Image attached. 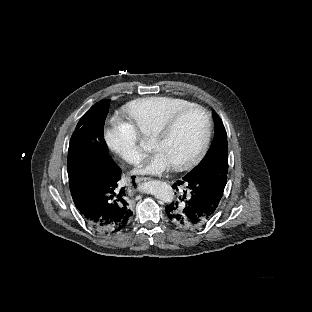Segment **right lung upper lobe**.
Masks as SVG:
<instances>
[{
  "instance_id": "obj_1",
  "label": "right lung upper lobe",
  "mask_w": 312,
  "mask_h": 312,
  "mask_svg": "<svg viewBox=\"0 0 312 312\" xmlns=\"http://www.w3.org/2000/svg\"><path fill=\"white\" fill-rule=\"evenodd\" d=\"M104 163H105V162H104ZM104 163H99V164H104ZM91 167H92V165H91V166H89V167H88V168H86V169H89V168H91ZM85 171H86V170H85ZM85 171H84V172H85ZM103 234H104V233H103Z\"/></svg>"
}]
</instances>
